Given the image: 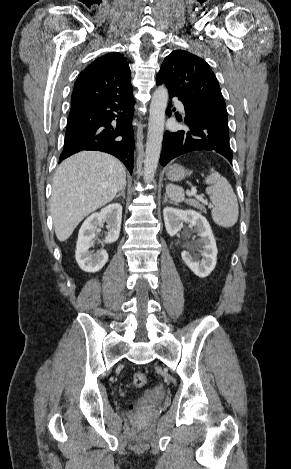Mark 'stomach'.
Here are the masks:
<instances>
[{
    "mask_svg": "<svg viewBox=\"0 0 291 469\" xmlns=\"http://www.w3.org/2000/svg\"><path fill=\"white\" fill-rule=\"evenodd\" d=\"M188 175V171L179 164H173L166 170V176L171 181H181Z\"/></svg>",
    "mask_w": 291,
    "mask_h": 469,
    "instance_id": "stomach-1",
    "label": "stomach"
}]
</instances>
